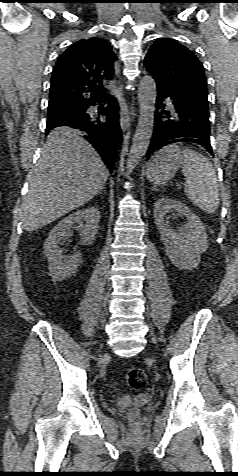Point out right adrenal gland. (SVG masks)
Masks as SVG:
<instances>
[{"label": "right adrenal gland", "mask_w": 238, "mask_h": 476, "mask_svg": "<svg viewBox=\"0 0 238 476\" xmlns=\"http://www.w3.org/2000/svg\"><path fill=\"white\" fill-rule=\"evenodd\" d=\"M102 191H104V192H105V189H104V187L102 188V190H101L99 193H102Z\"/></svg>", "instance_id": "obj_1"}]
</instances>
